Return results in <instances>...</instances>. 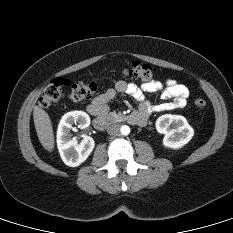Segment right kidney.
I'll list each match as a JSON object with an SVG mask.
<instances>
[{"mask_svg": "<svg viewBox=\"0 0 233 233\" xmlns=\"http://www.w3.org/2000/svg\"><path fill=\"white\" fill-rule=\"evenodd\" d=\"M73 124H78V128L84 129L90 125V117L83 111H72L66 113L60 120L57 129V147L63 162L70 167L83 163L95 146L90 136H84L80 143L72 138L70 130Z\"/></svg>", "mask_w": 233, "mask_h": 233, "instance_id": "obj_1", "label": "right kidney"}]
</instances>
